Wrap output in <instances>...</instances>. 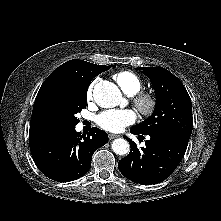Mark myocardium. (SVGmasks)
<instances>
[{
  "label": "myocardium",
  "instance_id": "f54148a6",
  "mask_svg": "<svg viewBox=\"0 0 221 221\" xmlns=\"http://www.w3.org/2000/svg\"><path fill=\"white\" fill-rule=\"evenodd\" d=\"M133 103L138 111L144 116H151L157 108V97L149 91H139L134 95Z\"/></svg>",
  "mask_w": 221,
  "mask_h": 221
}]
</instances>
